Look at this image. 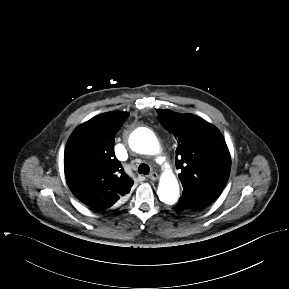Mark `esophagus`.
Returning <instances> with one entry per match:
<instances>
[{"mask_svg": "<svg viewBox=\"0 0 289 289\" xmlns=\"http://www.w3.org/2000/svg\"><path fill=\"white\" fill-rule=\"evenodd\" d=\"M159 175L156 172H152L149 174L148 178L152 181H156L158 179Z\"/></svg>", "mask_w": 289, "mask_h": 289, "instance_id": "obj_1", "label": "esophagus"}]
</instances>
